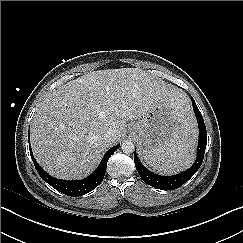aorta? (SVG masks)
Returning a JSON list of instances; mask_svg holds the SVG:
<instances>
[{"label": "aorta", "mask_w": 243, "mask_h": 243, "mask_svg": "<svg viewBox=\"0 0 243 243\" xmlns=\"http://www.w3.org/2000/svg\"><path fill=\"white\" fill-rule=\"evenodd\" d=\"M135 146L134 143L130 140H126L121 144V150L125 154H130L134 152Z\"/></svg>", "instance_id": "1"}]
</instances>
